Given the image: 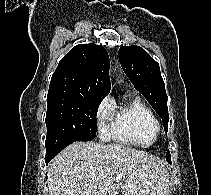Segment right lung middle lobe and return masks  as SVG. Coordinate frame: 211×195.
Returning a JSON list of instances; mask_svg holds the SVG:
<instances>
[{"mask_svg":"<svg viewBox=\"0 0 211 195\" xmlns=\"http://www.w3.org/2000/svg\"><path fill=\"white\" fill-rule=\"evenodd\" d=\"M101 101L70 95H47L46 151L68 142L93 140Z\"/></svg>","mask_w":211,"mask_h":195,"instance_id":"obj_1","label":"right lung middle lobe"}]
</instances>
